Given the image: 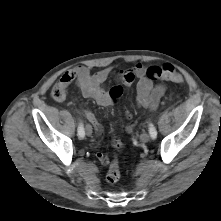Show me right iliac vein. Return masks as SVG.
Segmentation results:
<instances>
[{"label": "right iliac vein", "instance_id": "obj_1", "mask_svg": "<svg viewBox=\"0 0 221 221\" xmlns=\"http://www.w3.org/2000/svg\"><path fill=\"white\" fill-rule=\"evenodd\" d=\"M85 131H86V134L90 136L92 134V127L90 125H86Z\"/></svg>", "mask_w": 221, "mask_h": 221}]
</instances>
